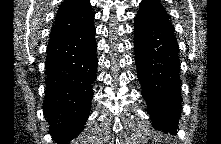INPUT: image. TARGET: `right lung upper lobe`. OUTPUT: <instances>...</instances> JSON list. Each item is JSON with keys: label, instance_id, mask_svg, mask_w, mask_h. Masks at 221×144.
I'll use <instances>...</instances> for the list:
<instances>
[{"label": "right lung upper lobe", "instance_id": "right-lung-upper-lobe-1", "mask_svg": "<svg viewBox=\"0 0 221 144\" xmlns=\"http://www.w3.org/2000/svg\"><path fill=\"white\" fill-rule=\"evenodd\" d=\"M94 20L89 0H66L56 15L49 43L64 39L91 25Z\"/></svg>", "mask_w": 221, "mask_h": 144}]
</instances>
